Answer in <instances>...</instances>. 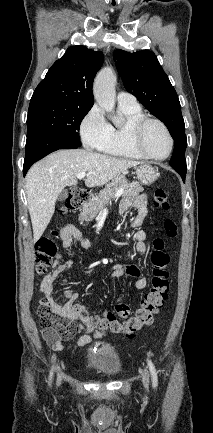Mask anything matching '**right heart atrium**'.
Instances as JSON below:
<instances>
[{"mask_svg": "<svg viewBox=\"0 0 213 433\" xmlns=\"http://www.w3.org/2000/svg\"><path fill=\"white\" fill-rule=\"evenodd\" d=\"M110 124L100 108L92 106L80 123V136L83 144L90 149H99L105 141Z\"/></svg>", "mask_w": 213, "mask_h": 433, "instance_id": "1", "label": "right heart atrium"}]
</instances>
